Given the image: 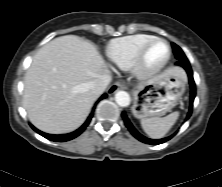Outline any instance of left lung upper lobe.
Here are the masks:
<instances>
[{"label": "left lung upper lobe", "mask_w": 222, "mask_h": 187, "mask_svg": "<svg viewBox=\"0 0 222 187\" xmlns=\"http://www.w3.org/2000/svg\"><path fill=\"white\" fill-rule=\"evenodd\" d=\"M172 47H173V52H174L177 60H188L187 57L185 56L184 52L182 51V49L179 46L172 43Z\"/></svg>", "instance_id": "left-lung-upper-lobe-1"}]
</instances>
